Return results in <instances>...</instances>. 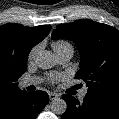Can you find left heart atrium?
<instances>
[{"mask_svg": "<svg viewBox=\"0 0 119 119\" xmlns=\"http://www.w3.org/2000/svg\"><path fill=\"white\" fill-rule=\"evenodd\" d=\"M58 79H60V76H57V75H50L49 76V80L51 82H56Z\"/></svg>", "mask_w": 119, "mask_h": 119, "instance_id": "39dd6f15", "label": "left heart atrium"}]
</instances>
